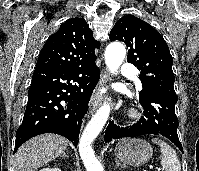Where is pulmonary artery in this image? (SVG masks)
<instances>
[{"label": "pulmonary artery", "instance_id": "e3ab8cb5", "mask_svg": "<svg viewBox=\"0 0 199 171\" xmlns=\"http://www.w3.org/2000/svg\"><path fill=\"white\" fill-rule=\"evenodd\" d=\"M121 72L123 75L130 76L136 78L137 71L136 69L128 63L122 65Z\"/></svg>", "mask_w": 199, "mask_h": 171}]
</instances>
